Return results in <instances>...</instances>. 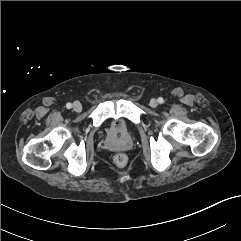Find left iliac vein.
I'll use <instances>...</instances> for the list:
<instances>
[{"mask_svg":"<svg viewBox=\"0 0 241 241\" xmlns=\"http://www.w3.org/2000/svg\"><path fill=\"white\" fill-rule=\"evenodd\" d=\"M150 106L153 107V108L157 107L158 106V101L156 99H154V98L151 99L150 100Z\"/></svg>","mask_w":241,"mask_h":241,"instance_id":"left-iliac-vein-1","label":"left iliac vein"}]
</instances>
